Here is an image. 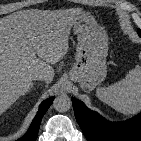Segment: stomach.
Here are the masks:
<instances>
[{"mask_svg":"<svg viewBox=\"0 0 141 141\" xmlns=\"http://www.w3.org/2000/svg\"><path fill=\"white\" fill-rule=\"evenodd\" d=\"M73 31L77 36L76 61L69 71V79L90 92L107 75L108 37L103 27L85 12L79 15Z\"/></svg>","mask_w":141,"mask_h":141,"instance_id":"1","label":"stomach"}]
</instances>
